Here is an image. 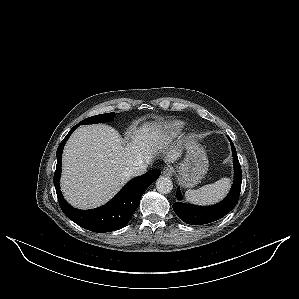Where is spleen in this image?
Here are the masks:
<instances>
[{"mask_svg":"<svg viewBox=\"0 0 299 299\" xmlns=\"http://www.w3.org/2000/svg\"><path fill=\"white\" fill-rule=\"evenodd\" d=\"M231 186L229 178H222L215 183L199 189H189L185 192L186 201L196 205H210L222 200Z\"/></svg>","mask_w":299,"mask_h":299,"instance_id":"1","label":"spleen"}]
</instances>
